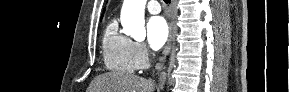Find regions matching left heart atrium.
Masks as SVG:
<instances>
[{
	"label": "left heart atrium",
	"instance_id": "39dd6f15",
	"mask_svg": "<svg viewBox=\"0 0 289 92\" xmlns=\"http://www.w3.org/2000/svg\"><path fill=\"white\" fill-rule=\"evenodd\" d=\"M169 37V27L166 20L160 16L150 18L147 23V40L153 50H159Z\"/></svg>",
	"mask_w": 289,
	"mask_h": 92
}]
</instances>
